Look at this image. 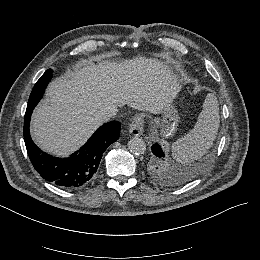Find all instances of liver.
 Masks as SVG:
<instances>
[{
  "label": "liver",
  "mask_w": 260,
  "mask_h": 260,
  "mask_svg": "<svg viewBox=\"0 0 260 260\" xmlns=\"http://www.w3.org/2000/svg\"><path fill=\"white\" fill-rule=\"evenodd\" d=\"M184 85L155 60L137 59L97 66L83 61L47 88L46 100L33 114L32 136L43 149L64 154L83 143L107 121V104L114 98L136 110L161 114Z\"/></svg>",
  "instance_id": "liver-1"
}]
</instances>
